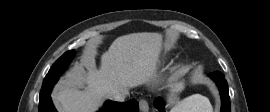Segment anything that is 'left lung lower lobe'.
Masks as SVG:
<instances>
[{
    "label": "left lung lower lobe",
    "instance_id": "obj_1",
    "mask_svg": "<svg viewBox=\"0 0 270 112\" xmlns=\"http://www.w3.org/2000/svg\"><path fill=\"white\" fill-rule=\"evenodd\" d=\"M208 76L214 80V82L219 88L222 100L221 112H231L228 84L225 80L224 75L221 72L216 71L213 73H209ZM154 106L159 110V112H164V101L161 98H157L154 101Z\"/></svg>",
    "mask_w": 270,
    "mask_h": 112
}]
</instances>
